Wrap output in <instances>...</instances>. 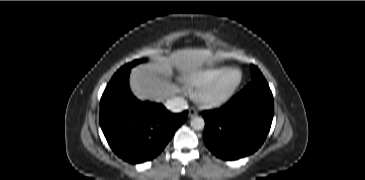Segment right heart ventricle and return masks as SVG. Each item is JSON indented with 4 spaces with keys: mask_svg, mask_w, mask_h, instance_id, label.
<instances>
[{
    "mask_svg": "<svg viewBox=\"0 0 365 180\" xmlns=\"http://www.w3.org/2000/svg\"><path fill=\"white\" fill-rule=\"evenodd\" d=\"M226 67L218 66L204 69L192 76L186 82V87L189 91L197 90L215 78Z\"/></svg>",
    "mask_w": 365,
    "mask_h": 180,
    "instance_id": "e07e8e85",
    "label": "right heart ventricle"
}]
</instances>
